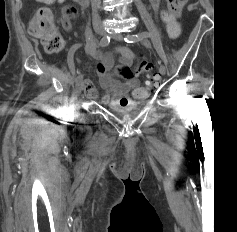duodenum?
Returning a JSON list of instances; mask_svg holds the SVG:
<instances>
[{"mask_svg":"<svg viewBox=\"0 0 237 232\" xmlns=\"http://www.w3.org/2000/svg\"><path fill=\"white\" fill-rule=\"evenodd\" d=\"M74 1L81 6H87L89 3V0H74Z\"/></svg>","mask_w":237,"mask_h":232,"instance_id":"1","label":"duodenum"}]
</instances>
